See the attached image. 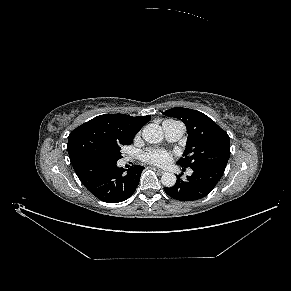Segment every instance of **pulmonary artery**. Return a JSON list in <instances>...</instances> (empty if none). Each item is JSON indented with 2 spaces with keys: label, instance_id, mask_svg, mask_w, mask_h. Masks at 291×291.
Wrapping results in <instances>:
<instances>
[{
  "label": "pulmonary artery",
  "instance_id": "1",
  "mask_svg": "<svg viewBox=\"0 0 291 291\" xmlns=\"http://www.w3.org/2000/svg\"><path fill=\"white\" fill-rule=\"evenodd\" d=\"M163 130L167 140L175 142L183 136L185 127L178 121H166L163 123ZM188 174H192V171H189Z\"/></svg>",
  "mask_w": 291,
  "mask_h": 291
}]
</instances>
